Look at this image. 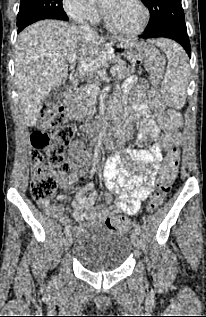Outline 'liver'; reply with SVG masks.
I'll use <instances>...</instances> for the list:
<instances>
[{
    "mask_svg": "<svg viewBox=\"0 0 206 317\" xmlns=\"http://www.w3.org/2000/svg\"><path fill=\"white\" fill-rule=\"evenodd\" d=\"M104 43L103 37L85 34L80 28L57 20L37 22L19 34L15 80L27 126L36 124L41 101L49 92L65 84L68 71L74 67L66 62L68 54L77 51L82 60L79 71L88 72L104 64V55L95 57ZM88 62L93 65L85 71L82 63Z\"/></svg>",
    "mask_w": 206,
    "mask_h": 317,
    "instance_id": "obj_1",
    "label": "liver"
}]
</instances>
